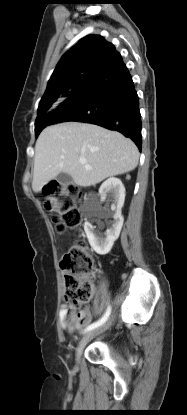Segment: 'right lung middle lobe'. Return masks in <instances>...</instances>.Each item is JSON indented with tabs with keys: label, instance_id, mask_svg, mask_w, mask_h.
Masks as SVG:
<instances>
[{
	"label": "right lung middle lobe",
	"instance_id": "dd1d6c3e",
	"mask_svg": "<svg viewBox=\"0 0 187 415\" xmlns=\"http://www.w3.org/2000/svg\"><path fill=\"white\" fill-rule=\"evenodd\" d=\"M84 82L79 83L75 87L69 89L66 93H64L55 103L42 107L38 109V116L35 121V134L36 137L40 134V132L51 123V116L53 112L70 96L76 93L82 86Z\"/></svg>",
	"mask_w": 187,
	"mask_h": 415
}]
</instances>
